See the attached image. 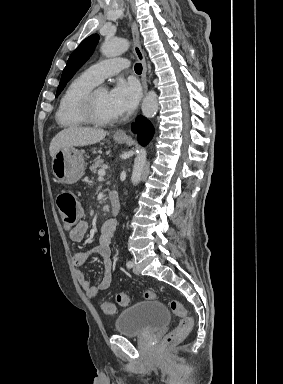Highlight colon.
Instances as JSON below:
<instances>
[{"label": "colon", "mask_w": 283, "mask_h": 384, "mask_svg": "<svg viewBox=\"0 0 283 384\" xmlns=\"http://www.w3.org/2000/svg\"><path fill=\"white\" fill-rule=\"evenodd\" d=\"M56 203L63 225L67 229L74 228L81 216L80 208L75 196L70 191L62 190L57 195ZM156 297V292L153 290L144 292V298L146 300H154ZM116 302L119 305H127L129 296L124 292H120L116 295ZM169 305L172 313L180 317V322L177 327L164 338L163 344L165 346H171L183 340L193 327V318L178 300H171ZM102 310L106 314H113L115 306L111 302H104L102 304Z\"/></svg>", "instance_id": "1"}]
</instances>
